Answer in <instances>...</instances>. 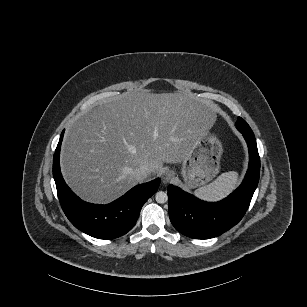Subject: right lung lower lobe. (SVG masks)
<instances>
[{
	"label": "right lung lower lobe",
	"mask_w": 307,
	"mask_h": 307,
	"mask_svg": "<svg viewBox=\"0 0 307 307\" xmlns=\"http://www.w3.org/2000/svg\"><path fill=\"white\" fill-rule=\"evenodd\" d=\"M64 131L53 157V177L61 207L69 221L82 232L98 239L126 234L136 223L143 204L158 190L160 179L137 185L108 205L82 201L66 185L59 164Z\"/></svg>",
	"instance_id": "1"
}]
</instances>
